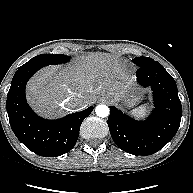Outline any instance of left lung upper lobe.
I'll use <instances>...</instances> for the list:
<instances>
[{
	"label": "left lung upper lobe",
	"instance_id": "left-lung-upper-lobe-1",
	"mask_svg": "<svg viewBox=\"0 0 193 193\" xmlns=\"http://www.w3.org/2000/svg\"><path fill=\"white\" fill-rule=\"evenodd\" d=\"M133 62L138 66V67H143L152 63H155L157 61H154L153 59L149 57H136L133 59Z\"/></svg>",
	"mask_w": 193,
	"mask_h": 193
}]
</instances>
